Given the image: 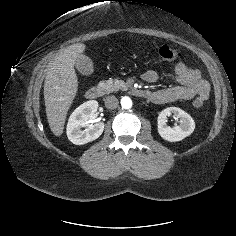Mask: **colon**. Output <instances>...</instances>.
<instances>
[{"mask_svg":"<svg viewBox=\"0 0 236 236\" xmlns=\"http://www.w3.org/2000/svg\"><path fill=\"white\" fill-rule=\"evenodd\" d=\"M155 51L157 52L158 56L166 62H176L181 58V53L176 50L175 48L169 45H160L156 44L154 46ZM204 103V100L201 97H196L193 100V106L195 108H201Z\"/></svg>","mask_w":236,"mask_h":236,"instance_id":"obj_1","label":"colon"}]
</instances>
